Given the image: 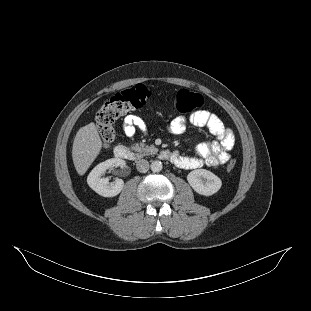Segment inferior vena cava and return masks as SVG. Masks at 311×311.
<instances>
[{
	"mask_svg": "<svg viewBox=\"0 0 311 311\" xmlns=\"http://www.w3.org/2000/svg\"><path fill=\"white\" fill-rule=\"evenodd\" d=\"M137 170L141 173H145L149 169V162L145 159H141L136 164Z\"/></svg>",
	"mask_w": 311,
	"mask_h": 311,
	"instance_id": "1",
	"label": "inferior vena cava"
}]
</instances>
